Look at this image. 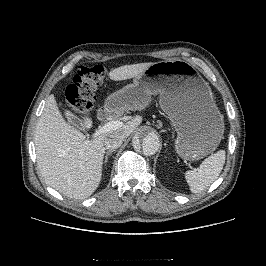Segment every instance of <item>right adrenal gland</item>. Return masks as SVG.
<instances>
[{"instance_id": "right-adrenal-gland-1", "label": "right adrenal gland", "mask_w": 266, "mask_h": 266, "mask_svg": "<svg viewBox=\"0 0 266 266\" xmlns=\"http://www.w3.org/2000/svg\"><path fill=\"white\" fill-rule=\"evenodd\" d=\"M114 151H116V150L111 149V150L106 152L104 163L107 162L109 155H111Z\"/></svg>"}]
</instances>
